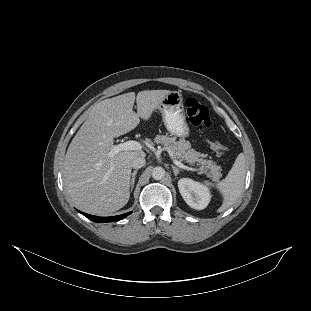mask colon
<instances>
[{
    "label": "colon",
    "mask_w": 311,
    "mask_h": 311,
    "mask_svg": "<svg viewBox=\"0 0 311 311\" xmlns=\"http://www.w3.org/2000/svg\"><path fill=\"white\" fill-rule=\"evenodd\" d=\"M187 115L193 125L200 130H207L211 126L209 111L207 107L195 98H187L184 102ZM210 148L218 158L224 157L226 153L225 146L217 140L209 139Z\"/></svg>",
    "instance_id": "colon-1"
}]
</instances>
